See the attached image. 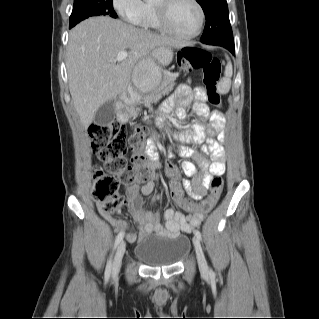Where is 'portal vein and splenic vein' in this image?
I'll return each instance as SVG.
<instances>
[{"instance_id":"1","label":"portal vein and splenic vein","mask_w":319,"mask_h":319,"mask_svg":"<svg viewBox=\"0 0 319 319\" xmlns=\"http://www.w3.org/2000/svg\"><path fill=\"white\" fill-rule=\"evenodd\" d=\"M127 57H128V53L126 51H120L117 54V57L114 60V62H121V61L125 60Z\"/></svg>"}]
</instances>
